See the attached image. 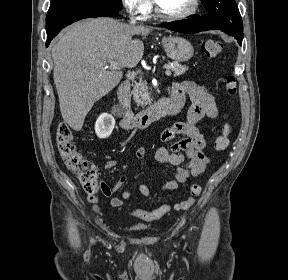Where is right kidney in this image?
<instances>
[{
  "label": "right kidney",
  "instance_id": "right-kidney-1",
  "mask_svg": "<svg viewBox=\"0 0 288 280\" xmlns=\"http://www.w3.org/2000/svg\"><path fill=\"white\" fill-rule=\"evenodd\" d=\"M115 125V120L111 115H101L95 123V132L99 138L108 137Z\"/></svg>",
  "mask_w": 288,
  "mask_h": 280
}]
</instances>
